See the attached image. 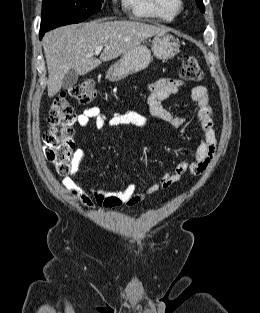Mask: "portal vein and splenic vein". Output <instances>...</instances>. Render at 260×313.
<instances>
[{"mask_svg":"<svg viewBox=\"0 0 260 313\" xmlns=\"http://www.w3.org/2000/svg\"><path fill=\"white\" fill-rule=\"evenodd\" d=\"M102 49H103V46H102V45H101V46H98V47L95 49V53H96V54H97V53H100Z\"/></svg>","mask_w":260,"mask_h":313,"instance_id":"18ae733b","label":"portal vein and splenic vein"}]
</instances>
